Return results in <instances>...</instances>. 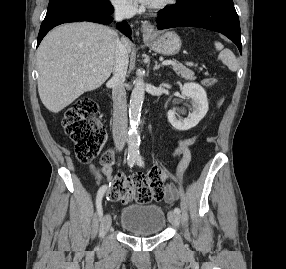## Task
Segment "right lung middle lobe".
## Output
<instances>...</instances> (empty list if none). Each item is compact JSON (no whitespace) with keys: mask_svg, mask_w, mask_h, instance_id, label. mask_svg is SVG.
Here are the masks:
<instances>
[{"mask_svg":"<svg viewBox=\"0 0 286 269\" xmlns=\"http://www.w3.org/2000/svg\"><path fill=\"white\" fill-rule=\"evenodd\" d=\"M77 5L91 6L99 10H110L109 0H50L47 14Z\"/></svg>","mask_w":286,"mask_h":269,"instance_id":"obj_1","label":"right lung middle lobe"}]
</instances>
